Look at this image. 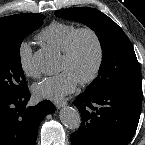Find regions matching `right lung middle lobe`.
Returning <instances> with one entry per match:
<instances>
[{"label": "right lung middle lobe", "instance_id": "right-lung-middle-lobe-1", "mask_svg": "<svg viewBox=\"0 0 145 145\" xmlns=\"http://www.w3.org/2000/svg\"><path fill=\"white\" fill-rule=\"evenodd\" d=\"M42 14H17L0 18V95L12 96L27 89L20 61L23 39L38 29Z\"/></svg>", "mask_w": 145, "mask_h": 145}]
</instances>
